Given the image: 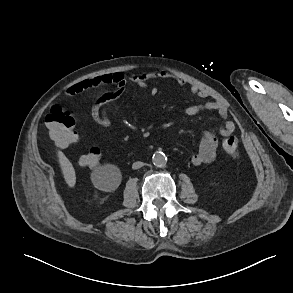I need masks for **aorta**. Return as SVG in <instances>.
<instances>
[{
	"label": "aorta",
	"instance_id": "obj_1",
	"mask_svg": "<svg viewBox=\"0 0 293 293\" xmlns=\"http://www.w3.org/2000/svg\"><path fill=\"white\" fill-rule=\"evenodd\" d=\"M167 157L162 152H156L152 156V162L155 166H163L166 164Z\"/></svg>",
	"mask_w": 293,
	"mask_h": 293
}]
</instances>
